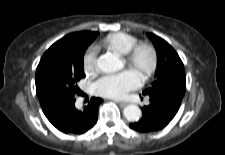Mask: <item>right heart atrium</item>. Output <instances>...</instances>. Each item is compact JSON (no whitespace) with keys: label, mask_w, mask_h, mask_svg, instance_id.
Returning a JSON list of instances; mask_svg holds the SVG:
<instances>
[{"label":"right heart atrium","mask_w":225,"mask_h":155,"mask_svg":"<svg viewBox=\"0 0 225 155\" xmlns=\"http://www.w3.org/2000/svg\"><path fill=\"white\" fill-rule=\"evenodd\" d=\"M83 67L86 73H92L96 68V52L90 48L83 59Z\"/></svg>","instance_id":"obj_1"}]
</instances>
